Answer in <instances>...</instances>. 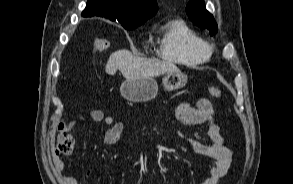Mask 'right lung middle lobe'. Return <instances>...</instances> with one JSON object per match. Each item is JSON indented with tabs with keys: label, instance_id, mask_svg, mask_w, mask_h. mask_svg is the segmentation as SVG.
Listing matches in <instances>:
<instances>
[{
	"label": "right lung middle lobe",
	"instance_id": "1",
	"mask_svg": "<svg viewBox=\"0 0 293 184\" xmlns=\"http://www.w3.org/2000/svg\"><path fill=\"white\" fill-rule=\"evenodd\" d=\"M143 23H144V22H140V23H127V24H122V26H123L125 29L132 30V29L137 28L138 26H140V25L143 24Z\"/></svg>",
	"mask_w": 293,
	"mask_h": 184
}]
</instances>
